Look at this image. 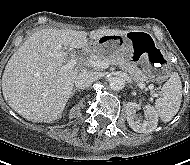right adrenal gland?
Listing matches in <instances>:
<instances>
[{"label":"right adrenal gland","mask_w":190,"mask_h":165,"mask_svg":"<svg viewBox=\"0 0 190 165\" xmlns=\"http://www.w3.org/2000/svg\"><path fill=\"white\" fill-rule=\"evenodd\" d=\"M76 91H80L79 89H77V88H73V90H72V93H71V97H73L74 96V94H75V92Z\"/></svg>","instance_id":"right-adrenal-gland-1"}]
</instances>
